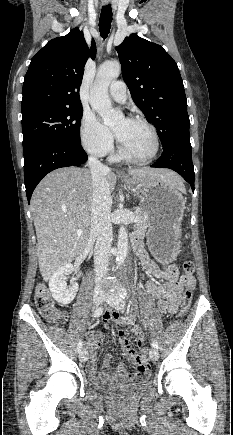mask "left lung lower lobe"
Listing matches in <instances>:
<instances>
[{"instance_id": "1", "label": "left lung lower lobe", "mask_w": 233, "mask_h": 435, "mask_svg": "<svg viewBox=\"0 0 233 435\" xmlns=\"http://www.w3.org/2000/svg\"><path fill=\"white\" fill-rule=\"evenodd\" d=\"M156 168H169L179 173L194 191V166L189 136L180 137L163 147V152L157 163L151 165Z\"/></svg>"}]
</instances>
